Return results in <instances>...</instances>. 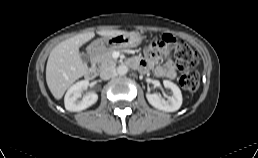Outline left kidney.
<instances>
[{
  "label": "left kidney",
  "mask_w": 258,
  "mask_h": 158,
  "mask_svg": "<svg viewBox=\"0 0 258 158\" xmlns=\"http://www.w3.org/2000/svg\"><path fill=\"white\" fill-rule=\"evenodd\" d=\"M163 85L165 88L171 90L172 95L167 99L162 98L156 93H147L146 98L148 102L155 108L166 112L177 111L182 105V93L180 88L169 80H164Z\"/></svg>",
  "instance_id": "1"
}]
</instances>
